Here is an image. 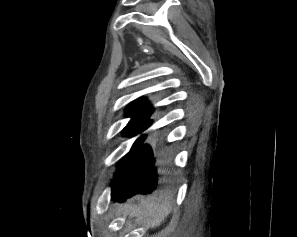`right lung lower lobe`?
Listing matches in <instances>:
<instances>
[{"mask_svg": "<svg viewBox=\"0 0 297 237\" xmlns=\"http://www.w3.org/2000/svg\"><path fill=\"white\" fill-rule=\"evenodd\" d=\"M145 138L130 157L119 185L113 186L111 199L125 201L139 193H152L159 180L169 175L163 148H158L154 156L151 147L144 144Z\"/></svg>", "mask_w": 297, "mask_h": 237, "instance_id": "obj_1", "label": "right lung lower lobe"}]
</instances>
